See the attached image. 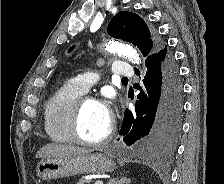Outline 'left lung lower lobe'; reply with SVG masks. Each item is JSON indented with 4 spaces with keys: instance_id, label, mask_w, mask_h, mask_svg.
<instances>
[{
    "instance_id": "obj_1",
    "label": "left lung lower lobe",
    "mask_w": 224,
    "mask_h": 184,
    "mask_svg": "<svg viewBox=\"0 0 224 184\" xmlns=\"http://www.w3.org/2000/svg\"><path fill=\"white\" fill-rule=\"evenodd\" d=\"M145 92L136 101V113L126 109L120 130L127 146L153 153L170 151L180 132L182 86L174 56L167 47L146 60ZM139 75V71L136 69Z\"/></svg>"
}]
</instances>
